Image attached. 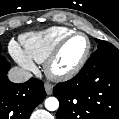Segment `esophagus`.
Instances as JSON below:
<instances>
[{
  "label": "esophagus",
  "instance_id": "esophagus-1",
  "mask_svg": "<svg viewBox=\"0 0 119 119\" xmlns=\"http://www.w3.org/2000/svg\"><path fill=\"white\" fill-rule=\"evenodd\" d=\"M44 87H45V91H46L47 95H51L52 91H53V85L51 83L46 82L44 84Z\"/></svg>",
  "mask_w": 119,
  "mask_h": 119
}]
</instances>
